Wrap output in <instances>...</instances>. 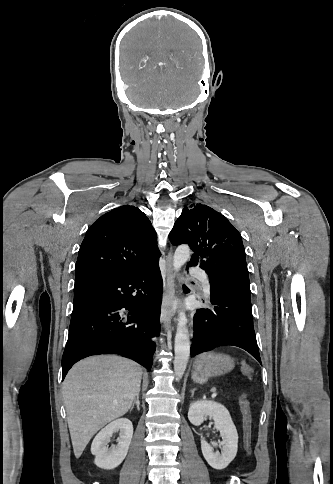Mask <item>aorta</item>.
Instances as JSON below:
<instances>
[{
	"instance_id": "obj_1",
	"label": "aorta",
	"mask_w": 333,
	"mask_h": 484,
	"mask_svg": "<svg viewBox=\"0 0 333 484\" xmlns=\"http://www.w3.org/2000/svg\"><path fill=\"white\" fill-rule=\"evenodd\" d=\"M190 254L188 245L183 244L177 247L173 256V267L176 272L188 261ZM186 321L185 313L180 312L174 344V371L177 380L182 378L190 356V339Z\"/></svg>"
}]
</instances>
